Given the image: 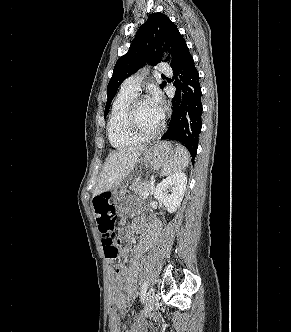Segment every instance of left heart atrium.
Masks as SVG:
<instances>
[{
	"instance_id": "left-heart-atrium-1",
	"label": "left heart atrium",
	"mask_w": 291,
	"mask_h": 332,
	"mask_svg": "<svg viewBox=\"0 0 291 332\" xmlns=\"http://www.w3.org/2000/svg\"><path fill=\"white\" fill-rule=\"evenodd\" d=\"M152 103H154L156 106L160 103V96L158 93H154L151 100Z\"/></svg>"
}]
</instances>
